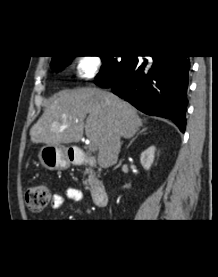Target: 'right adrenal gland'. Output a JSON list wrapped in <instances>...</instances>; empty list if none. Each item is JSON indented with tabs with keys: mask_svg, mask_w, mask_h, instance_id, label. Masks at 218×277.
Returning a JSON list of instances; mask_svg holds the SVG:
<instances>
[{
	"mask_svg": "<svg viewBox=\"0 0 218 277\" xmlns=\"http://www.w3.org/2000/svg\"><path fill=\"white\" fill-rule=\"evenodd\" d=\"M146 130V128H143L129 143L128 147L136 140V138L139 136V134H141L142 132H144Z\"/></svg>",
	"mask_w": 218,
	"mask_h": 277,
	"instance_id": "1",
	"label": "right adrenal gland"
}]
</instances>
